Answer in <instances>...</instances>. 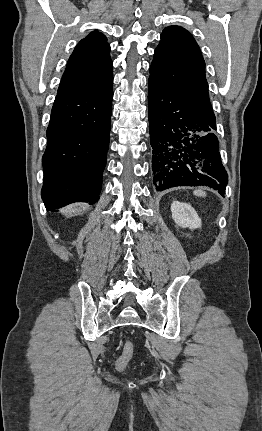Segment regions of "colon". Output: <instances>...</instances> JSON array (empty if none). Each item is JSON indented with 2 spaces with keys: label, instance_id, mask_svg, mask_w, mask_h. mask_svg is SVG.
I'll return each mask as SVG.
<instances>
[{
  "label": "colon",
  "instance_id": "obj_1",
  "mask_svg": "<svg viewBox=\"0 0 262 431\" xmlns=\"http://www.w3.org/2000/svg\"><path fill=\"white\" fill-rule=\"evenodd\" d=\"M134 354V343L131 340L125 342L121 355L116 360L118 371H124Z\"/></svg>",
  "mask_w": 262,
  "mask_h": 431
}]
</instances>
